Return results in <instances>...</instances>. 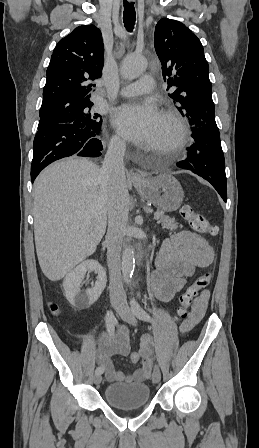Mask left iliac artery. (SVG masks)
I'll return each mask as SVG.
<instances>
[{
    "label": "left iliac artery",
    "instance_id": "44dca946",
    "mask_svg": "<svg viewBox=\"0 0 259 448\" xmlns=\"http://www.w3.org/2000/svg\"><path fill=\"white\" fill-rule=\"evenodd\" d=\"M130 305L133 313L142 321L153 322L150 315L139 305L134 296L131 297Z\"/></svg>",
    "mask_w": 259,
    "mask_h": 448
}]
</instances>
